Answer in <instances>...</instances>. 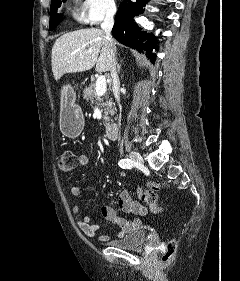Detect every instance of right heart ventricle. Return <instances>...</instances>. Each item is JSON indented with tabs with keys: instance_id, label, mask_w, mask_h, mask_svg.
Wrapping results in <instances>:
<instances>
[{
	"instance_id": "right-heart-ventricle-1",
	"label": "right heart ventricle",
	"mask_w": 240,
	"mask_h": 281,
	"mask_svg": "<svg viewBox=\"0 0 240 281\" xmlns=\"http://www.w3.org/2000/svg\"><path fill=\"white\" fill-rule=\"evenodd\" d=\"M74 8L72 10V16L77 21H85V18L83 17V14L79 8V0H74Z\"/></svg>"
}]
</instances>
